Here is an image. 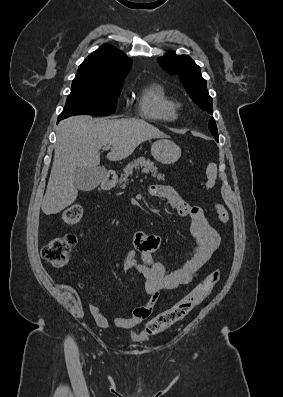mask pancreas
Returning a JSON list of instances; mask_svg holds the SVG:
<instances>
[{
  "label": "pancreas",
  "mask_w": 283,
  "mask_h": 397,
  "mask_svg": "<svg viewBox=\"0 0 283 397\" xmlns=\"http://www.w3.org/2000/svg\"><path fill=\"white\" fill-rule=\"evenodd\" d=\"M139 169H141V172L145 174L151 172L152 177L157 178L158 180H162L164 178L158 172V168L154 162L144 157H139L124 168L123 174L119 178V183L121 184L120 187L125 188L126 184L128 183V178L133 174V170L138 171Z\"/></svg>",
  "instance_id": "pancreas-1"
}]
</instances>
